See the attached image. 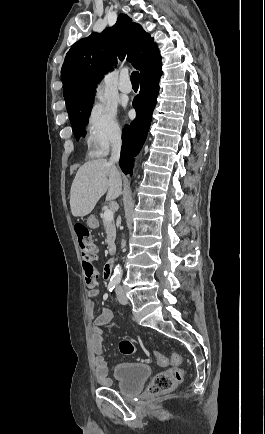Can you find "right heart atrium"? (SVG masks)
I'll use <instances>...</instances> for the list:
<instances>
[{
  "label": "right heart atrium",
  "mask_w": 265,
  "mask_h": 434,
  "mask_svg": "<svg viewBox=\"0 0 265 434\" xmlns=\"http://www.w3.org/2000/svg\"><path fill=\"white\" fill-rule=\"evenodd\" d=\"M89 112L92 115L86 119L85 127L87 154L93 159H108L112 148H126L118 101H109L108 106H92Z\"/></svg>",
  "instance_id": "obj_1"
}]
</instances>
